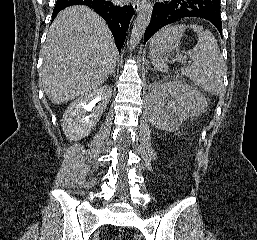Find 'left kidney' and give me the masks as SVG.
<instances>
[{"instance_id":"obj_1","label":"left kidney","mask_w":257,"mask_h":240,"mask_svg":"<svg viewBox=\"0 0 257 240\" xmlns=\"http://www.w3.org/2000/svg\"><path fill=\"white\" fill-rule=\"evenodd\" d=\"M206 106L201 92L178 80L154 84L148 95L151 123L163 130L174 131L190 116H198Z\"/></svg>"}]
</instances>
